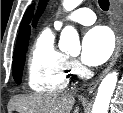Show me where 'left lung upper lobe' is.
I'll return each mask as SVG.
<instances>
[{
  "label": "left lung upper lobe",
  "mask_w": 123,
  "mask_h": 113,
  "mask_svg": "<svg viewBox=\"0 0 123 113\" xmlns=\"http://www.w3.org/2000/svg\"><path fill=\"white\" fill-rule=\"evenodd\" d=\"M47 2H48V0H40L39 1L38 9H37V12L35 14V18L33 20V26H36V24L38 22V19L40 18V16L42 15L43 11L45 10Z\"/></svg>",
  "instance_id": "1"
}]
</instances>
